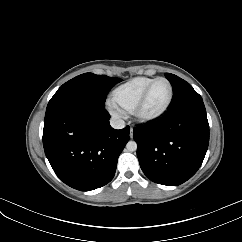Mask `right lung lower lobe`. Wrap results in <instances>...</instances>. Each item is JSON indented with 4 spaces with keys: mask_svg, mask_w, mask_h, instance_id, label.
I'll return each mask as SVG.
<instances>
[{
    "mask_svg": "<svg viewBox=\"0 0 242 242\" xmlns=\"http://www.w3.org/2000/svg\"><path fill=\"white\" fill-rule=\"evenodd\" d=\"M109 119L105 106L88 101L69 102L46 111L45 154L65 184L90 191L112 180L130 128L115 130Z\"/></svg>",
    "mask_w": 242,
    "mask_h": 242,
    "instance_id": "1",
    "label": "right lung lower lobe"
}]
</instances>
